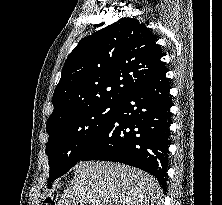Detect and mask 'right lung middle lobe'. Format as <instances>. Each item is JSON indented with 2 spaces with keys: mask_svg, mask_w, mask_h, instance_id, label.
<instances>
[{
  "mask_svg": "<svg viewBox=\"0 0 222 205\" xmlns=\"http://www.w3.org/2000/svg\"><path fill=\"white\" fill-rule=\"evenodd\" d=\"M120 102H105L88 106L66 118L46 126L49 140L48 185L65 174L79 160L97 134L111 121Z\"/></svg>",
  "mask_w": 222,
  "mask_h": 205,
  "instance_id": "dd1d6c3e",
  "label": "right lung middle lobe"
}]
</instances>
